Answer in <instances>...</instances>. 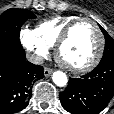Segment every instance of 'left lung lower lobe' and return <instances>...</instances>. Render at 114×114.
Masks as SVG:
<instances>
[{
  "label": "left lung lower lobe",
  "instance_id": "obj_1",
  "mask_svg": "<svg viewBox=\"0 0 114 114\" xmlns=\"http://www.w3.org/2000/svg\"><path fill=\"white\" fill-rule=\"evenodd\" d=\"M114 95V61L100 62L82 78H70L59 99L73 114H98Z\"/></svg>",
  "mask_w": 114,
  "mask_h": 114
}]
</instances>
